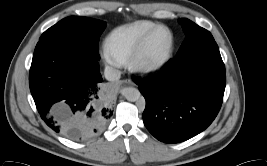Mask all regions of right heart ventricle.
Wrapping results in <instances>:
<instances>
[{"label":"right heart ventricle","instance_id":"1","mask_svg":"<svg viewBox=\"0 0 267 166\" xmlns=\"http://www.w3.org/2000/svg\"><path fill=\"white\" fill-rule=\"evenodd\" d=\"M157 24L149 20H139L130 24L118 26L108 36V44L123 62L142 38Z\"/></svg>","mask_w":267,"mask_h":166}]
</instances>
